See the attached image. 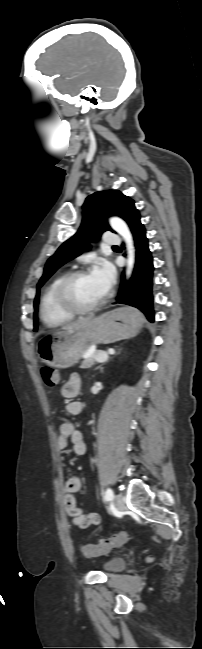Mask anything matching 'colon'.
Returning <instances> with one entry per match:
<instances>
[{
  "instance_id": "5ec220e1",
  "label": "colon",
  "mask_w": 202,
  "mask_h": 649,
  "mask_svg": "<svg viewBox=\"0 0 202 649\" xmlns=\"http://www.w3.org/2000/svg\"><path fill=\"white\" fill-rule=\"evenodd\" d=\"M41 378L48 387H56L60 383V374L57 369L44 366L40 370ZM128 534L120 532L109 539H104L96 544L81 545V552L84 557L90 558L108 552L109 550L120 547L128 541Z\"/></svg>"
}]
</instances>
